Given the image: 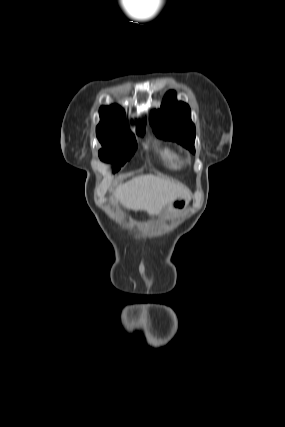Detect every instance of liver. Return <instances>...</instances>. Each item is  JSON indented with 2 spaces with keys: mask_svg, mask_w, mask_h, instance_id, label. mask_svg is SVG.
<instances>
[{
  "mask_svg": "<svg viewBox=\"0 0 285 427\" xmlns=\"http://www.w3.org/2000/svg\"><path fill=\"white\" fill-rule=\"evenodd\" d=\"M114 196L127 209L158 215L173 201L189 199L191 193L188 188L173 180L145 174L120 184L114 191Z\"/></svg>",
  "mask_w": 285,
  "mask_h": 427,
  "instance_id": "liver-1",
  "label": "liver"
}]
</instances>
